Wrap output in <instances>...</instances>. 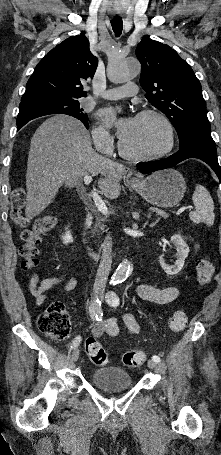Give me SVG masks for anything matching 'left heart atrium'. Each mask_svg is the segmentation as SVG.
Returning <instances> with one entry per match:
<instances>
[{
  "label": "left heart atrium",
  "instance_id": "obj_1",
  "mask_svg": "<svg viewBox=\"0 0 221 455\" xmlns=\"http://www.w3.org/2000/svg\"><path fill=\"white\" fill-rule=\"evenodd\" d=\"M100 116L104 122L116 128L117 134L121 139L125 138L130 133L135 121V118L133 117L118 118L112 109L101 111Z\"/></svg>",
  "mask_w": 221,
  "mask_h": 455
}]
</instances>
